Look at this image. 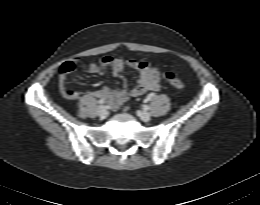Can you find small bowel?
Returning <instances> with one entry per match:
<instances>
[{"instance_id":"c3829d8e","label":"small bowel","mask_w":260,"mask_h":205,"mask_svg":"<svg viewBox=\"0 0 260 205\" xmlns=\"http://www.w3.org/2000/svg\"><path fill=\"white\" fill-rule=\"evenodd\" d=\"M78 61L79 58H72L64 62L58 72L60 92L64 98L69 100L80 97V93L69 89L66 85L67 76L75 69ZM126 68L133 69L139 73V80L132 88H128L122 78V72ZM87 70L95 74H103L110 70L115 77L122 79V84L119 88L103 87L89 92L94 97L106 100L111 109L119 108L129 97H137L147 91H158L162 78L159 69L146 61L111 55L101 58L97 63H89Z\"/></svg>"}]
</instances>
